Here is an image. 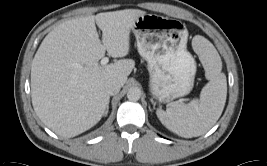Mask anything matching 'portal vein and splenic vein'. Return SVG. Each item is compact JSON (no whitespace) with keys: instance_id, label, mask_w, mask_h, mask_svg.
<instances>
[{"instance_id":"18ae733b","label":"portal vein and splenic vein","mask_w":267,"mask_h":166,"mask_svg":"<svg viewBox=\"0 0 267 166\" xmlns=\"http://www.w3.org/2000/svg\"><path fill=\"white\" fill-rule=\"evenodd\" d=\"M108 62H109V59L107 57H104V58H102L100 63L102 66H105Z\"/></svg>"}]
</instances>
